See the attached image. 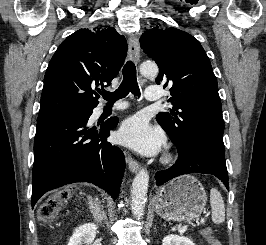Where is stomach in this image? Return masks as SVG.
Wrapping results in <instances>:
<instances>
[{
	"label": "stomach",
	"instance_id": "0dacf381",
	"mask_svg": "<svg viewBox=\"0 0 266 245\" xmlns=\"http://www.w3.org/2000/svg\"><path fill=\"white\" fill-rule=\"evenodd\" d=\"M156 213L167 221H192L207 203L206 191L191 175L177 177L156 193Z\"/></svg>",
	"mask_w": 266,
	"mask_h": 245
}]
</instances>
